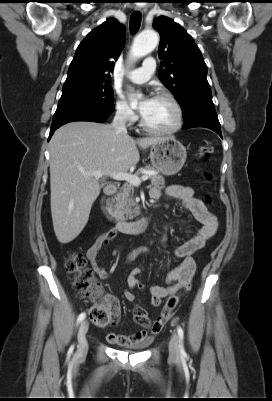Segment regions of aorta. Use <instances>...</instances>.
Masks as SVG:
<instances>
[{
  "label": "aorta",
  "mask_w": 272,
  "mask_h": 401,
  "mask_svg": "<svg viewBox=\"0 0 272 401\" xmlns=\"http://www.w3.org/2000/svg\"><path fill=\"white\" fill-rule=\"evenodd\" d=\"M159 42V36L154 31H145L140 33L134 40L131 47V56L140 58L152 52ZM137 100H133L132 104H136Z\"/></svg>",
  "instance_id": "1"
}]
</instances>
